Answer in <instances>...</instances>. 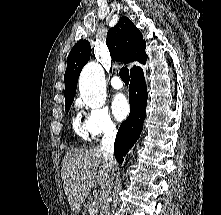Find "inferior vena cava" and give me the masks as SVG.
<instances>
[{
	"mask_svg": "<svg viewBox=\"0 0 221 215\" xmlns=\"http://www.w3.org/2000/svg\"><path fill=\"white\" fill-rule=\"evenodd\" d=\"M116 138V129L109 128L106 130L104 137L101 141V147L100 150L102 152L103 158L108 162L110 168L113 167V160H114V142ZM113 180V177L111 176L109 180V184L107 185V188L102 194V201L100 205V215H110V206H109V195L111 193V182Z\"/></svg>",
	"mask_w": 221,
	"mask_h": 215,
	"instance_id": "1",
	"label": "inferior vena cava"
}]
</instances>
